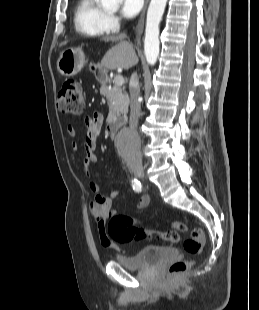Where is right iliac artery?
Returning a JSON list of instances; mask_svg holds the SVG:
<instances>
[{"label":"right iliac artery","instance_id":"1","mask_svg":"<svg viewBox=\"0 0 259 310\" xmlns=\"http://www.w3.org/2000/svg\"><path fill=\"white\" fill-rule=\"evenodd\" d=\"M132 187H133V190H135L136 192L142 191V185L140 181H138L137 179L132 180Z\"/></svg>","mask_w":259,"mask_h":310}]
</instances>
